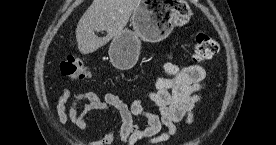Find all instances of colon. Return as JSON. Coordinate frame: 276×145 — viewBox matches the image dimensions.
Returning <instances> with one entry per match:
<instances>
[{"label":"colon","mask_w":276,"mask_h":145,"mask_svg":"<svg viewBox=\"0 0 276 145\" xmlns=\"http://www.w3.org/2000/svg\"><path fill=\"white\" fill-rule=\"evenodd\" d=\"M219 50L218 43L203 32H199L195 35L193 58L196 62L202 63L214 55ZM60 72L63 76L72 79H87L90 77L85 64L78 56H68L60 63Z\"/></svg>","instance_id":"obj_1"}]
</instances>
